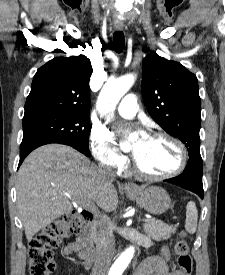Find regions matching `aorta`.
<instances>
[{
	"label": "aorta",
	"mask_w": 225,
	"mask_h": 275,
	"mask_svg": "<svg viewBox=\"0 0 225 275\" xmlns=\"http://www.w3.org/2000/svg\"><path fill=\"white\" fill-rule=\"evenodd\" d=\"M135 76L128 74L115 80H108L103 86L98 100L97 109L102 116H107L114 112L118 102L124 94L133 86ZM129 144L125 141L121 145ZM135 249L133 246L127 248L112 265L109 275H122L124 270L131 262Z\"/></svg>",
	"instance_id": "obj_1"
}]
</instances>
